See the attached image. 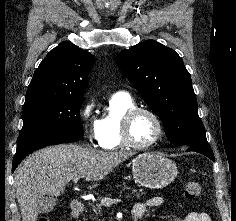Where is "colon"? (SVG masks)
<instances>
[{"instance_id":"obj_1","label":"colon","mask_w":236,"mask_h":221,"mask_svg":"<svg viewBox=\"0 0 236 221\" xmlns=\"http://www.w3.org/2000/svg\"><path fill=\"white\" fill-rule=\"evenodd\" d=\"M202 188L199 182L189 181L185 185V197L187 199H194L200 196ZM39 221H51L47 218H42Z\"/></svg>"}]
</instances>
